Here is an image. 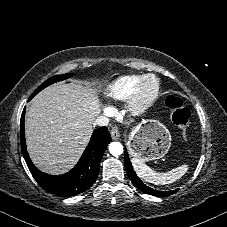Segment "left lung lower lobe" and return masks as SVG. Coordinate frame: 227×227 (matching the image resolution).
<instances>
[{
	"instance_id": "obj_1",
	"label": "left lung lower lobe",
	"mask_w": 227,
	"mask_h": 227,
	"mask_svg": "<svg viewBox=\"0 0 227 227\" xmlns=\"http://www.w3.org/2000/svg\"><path fill=\"white\" fill-rule=\"evenodd\" d=\"M125 169L127 172V175L131 182L134 184L135 187H137L139 190L142 192H145L150 195L158 196V197H163V196H169L171 194H174L176 191H157L153 190L150 187L146 186L139 177H137L136 173L133 170V166L130 162L129 156L127 151L125 150Z\"/></svg>"
}]
</instances>
